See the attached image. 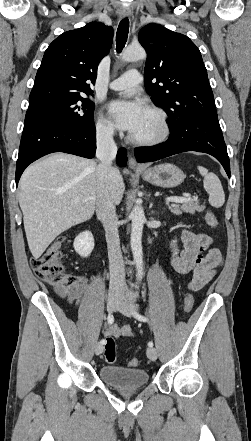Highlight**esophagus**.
Masks as SVG:
<instances>
[{"instance_id":"34e87169","label":"esophagus","mask_w":251,"mask_h":441,"mask_svg":"<svg viewBox=\"0 0 251 441\" xmlns=\"http://www.w3.org/2000/svg\"><path fill=\"white\" fill-rule=\"evenodd\" d=\"M119 14H120V16L122 18H125V17H127V16H129L131 14V11L128 8H122L120 10ZM128 165L132 169H140V168H142V166L132 156L129 157Z\"/></svg>"}]
</instances>
